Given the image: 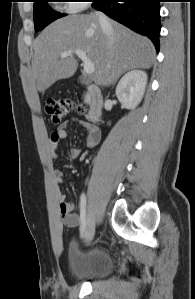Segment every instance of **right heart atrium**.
Instances as JSON below:
<instances>
[{"label":"right heart atrium","instance_id":"right-heart-atrium-1","mask_svg":"<svg viewBox=\"0 0 195 299\" xmlns=\"http://www.w3.org/2000/svg\"><path fill=\"white\" fill-rule=\"evenodd\" d=\"M65 9L70 12H79L86 8L87 2L85 0H69L66 1Z\"/></svg>","mask_w":195,"mask_h":299}]
</instances>
